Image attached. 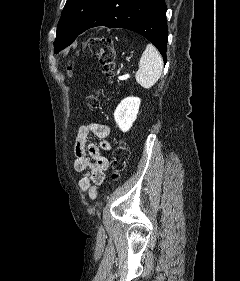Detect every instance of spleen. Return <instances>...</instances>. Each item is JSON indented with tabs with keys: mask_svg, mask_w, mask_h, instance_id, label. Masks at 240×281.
I'll list each match as a JSON object with an SVG mask.
<instances>
[{
	"mask_svg": "<svg viewBox=\"0 0 240 281\" xmlns=\"http://www.w3.org/2000/svg\"><path fill=\"white\" fill-rule=\"evenodd\" d=\"M163 70V60L160 53L148 44L139 61V70L135 78L139 85L150 89L160 78Z\"/></svg>",
	"mask_w": 240,
	"mask_h": 281,
	"instance_id": "spleen-1",
	"label": "spleen"
}]
</instances>
